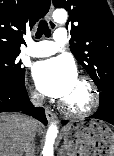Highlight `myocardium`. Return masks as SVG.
Segmentation results:
<instances>
[{"label": "myocardium", "instance_id": "f54148a6", "mask_svg": "<svg viewBox=\"0 0 114 156\" xmlns=\"http://www.w3.org/2000/svg\"><path fill=\"white\" fill-rule=\"evenodd\" d=\"M78 81L86 86L89 95L88 104L82 109L71 108L64 100L60 102V108L69 117H84L91 114L99 105V93L94 82L87 76L79 77Z\"/></svg>", "mask_w": 114, "mask_h": 156}]
</instances>
